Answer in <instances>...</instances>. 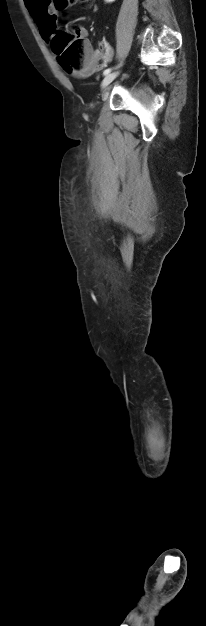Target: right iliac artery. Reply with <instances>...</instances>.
I'll use <instances>...</instances> for the list:
<instances>
[{
    "mask_svg": "<svg viewBox=\"0 0 206 626\" xmlns=\"http://www.w3.org/2000/svg\"><path fill=\"white\" fill-rule=\"evenodd\" d=\"M120 65H121V64H120ZM120 65H119V66H120ZM119 66H118V67H119ZM111 71H112V69H111V68H108V69L104 70L103 74H104V75H107V74H109Z\"/></svg>",
    "mask_w": 206,
    "mask_h": 626,
    "instance_id": "1",
    "label": "right iliac artery"
}]
</instances>
